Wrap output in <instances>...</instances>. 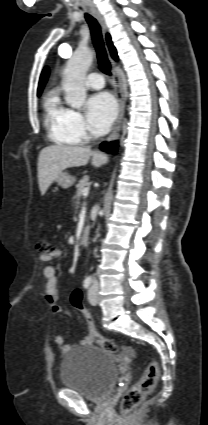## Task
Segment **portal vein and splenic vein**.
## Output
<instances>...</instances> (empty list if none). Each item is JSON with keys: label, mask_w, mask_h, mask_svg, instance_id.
Here are the masks:
<instances>
[{"label": "portal vein and splenic vein", "mask_w": 208, "mask_h": 425, "mask_svg": "<svg viewBox=\"0 0 208 425\" xmlns=\"http://www.w3.org/2000/svg\"><path fill=\"white\" fill-rule=\"evenodd\" d=\"M82 194H83L84 197H87L88 194H89V189L88 188L83 189Z\"/></svg>", "instance_id": "portal-vein-and-splenic-vein-1"}]
</instances>
